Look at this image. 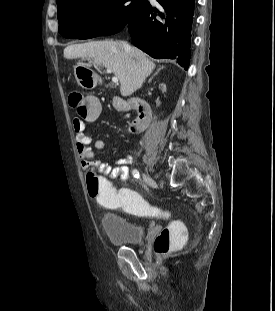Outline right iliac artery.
Returning a JSON list of instances; mask_svg holds the SVG:
<instances>
[{
	"instance_id": "1",
	"label": "right iliac artery",
	"mask_w": 275,
	"mask_h": 311,
	"mask_svg": "<svg viewBox=\"0 0 275 311\" xmlns=\"http://www.w3.org/2000/svg\"><path fill=\"white\" fill-rule=\"evenodd\" d=\"M132 175L135 177V178H139V171L137 169H133L132 170Z\"/></svg>"
}]
</instances>
